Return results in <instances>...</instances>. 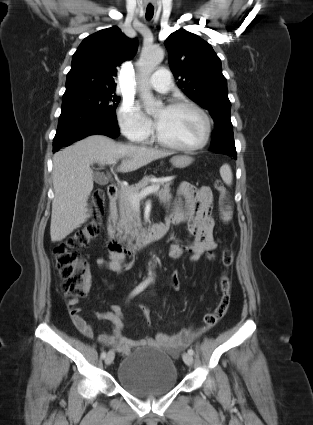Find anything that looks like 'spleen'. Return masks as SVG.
<instances>
[{
	"label": "spleen",
	"mask_w": 313,
	"mask_h": 425,
	"mask_svg": "<svg viewBox=\"0 0 313 425\" xmlns=\"http://www.w3.org/2000/svg\"><path fill=\"white\" fill-rule=\"evenodd\" d=\"M220 175L226 185L230 186L232 184L233 175H232L231 167L228 164H224L221 166ZM230 218H231L230 213L224 214L225 220H229Z\"/></svg>",
	"instance_id": "3e777b00"
}]
</instances>
